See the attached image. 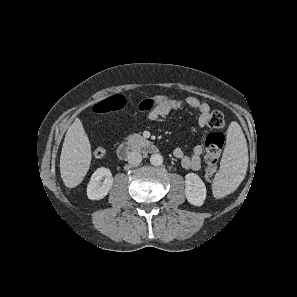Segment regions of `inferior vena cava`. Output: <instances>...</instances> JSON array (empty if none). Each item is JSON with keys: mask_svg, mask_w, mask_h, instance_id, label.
Listing matches in <instances>:
<instances>
[{"mask_svg": "<svg viewBox=\"0 0 297 297\" xmlns=\"http://www.w3.org/2000/svg\"><path fill=\"white\" fill-rule=\"evenodd\" d=\"M141 161L142 155L137 151H133L128 155V163L131 165H138Z\"/></svg>", "mask_w": 297, "mask_h": 297, "instance_id": "inferior-vena-cava-1", "label": "inferior vena cava"}]
</instances>
